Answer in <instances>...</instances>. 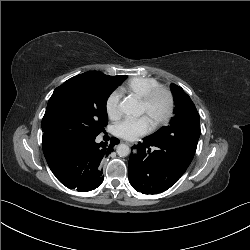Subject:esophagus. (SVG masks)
<instances>
[{
  "mask_svg": "<svg viewBox=\"0 0 250 250\" xmlns=\"http://www.w3.org/2000/svg\"><path fill=\"white\" fill-rule=\"evenodd\" d=\"M127 145H129V146H131L132 144L131 143H129V142H125Z\"/></svg>",
  "mask_w": 250,
  "mask_h": 250,
  "instance_id": "obj_1",
  "label": "esophagus"
}]
</instances>
